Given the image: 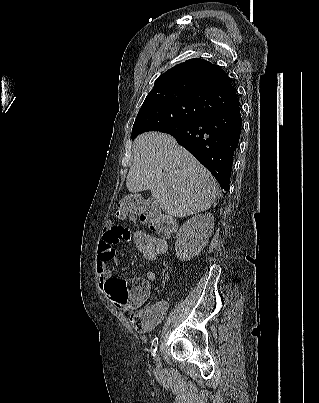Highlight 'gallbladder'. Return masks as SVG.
<instances>
[{
    "mask_svg": "<svg viewBox=\"0 0 319 403\" xmlns=\"http://www.w3.org/2000/svg\"><path fill=\"white\" fill-rule=\"evenodd\" d=\"M143 209L146 211H149V212L151 210L156 211V212L160 211V207L155 203V201L153 199L146 200L144 203Z\"/></svg>",
    "mask_w": 319,
    "mask_h": 403,
    "instance_id": "bac80fb5",
    "label": "gallbladder"
}]
</instances>
